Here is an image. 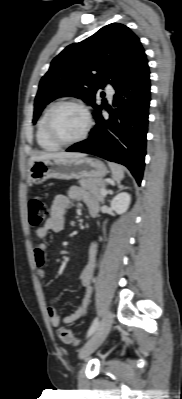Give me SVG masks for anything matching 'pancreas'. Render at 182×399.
I'll list each match as a JSON object with an SVG mask.
<instances>
[{"instance_id":"pancreas-1","label":"pancreas","mask_w":182,"mask_h":399,"mask_svg":"<svg viewBox=\"0 0 182 399\" xmlns=\"http://www.w3.org/2000/svg\"><path fill=\"white\" fill-rule=\"evenodd\" d=\"M80 186L94 194L99 201H103L105 195L102 190H105V182L102 179L83 178L79 180Z\"/></svg>"}]
</instances>
